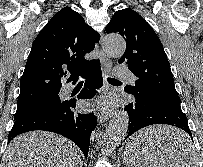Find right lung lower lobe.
<instances>
[{"mask_svg": "<svg viewBox=\"0 0 203 167\" xmlns=\"http://www.w3.org/2000/svg\"><path fill=\"white\" fill-rule=\"evenodd\" d=\"M82 76L86 78V82L77 98L91 99L96 94V89L103 84L100 61ZM75 106L76 99L65 100L58 105L29 113L15 120L8 136V143L21 133L45 130L71 139L87 158L90 136L96 127L97 120L94 113H77Z\"/></svg>", "mask_w": 203, "mask_h": 167, "instance_id": "1", "label": "right lung lower lobe"}]
</instances>
